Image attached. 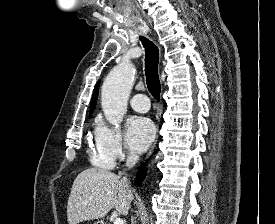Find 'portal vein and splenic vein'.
I'll return each instance as SVG.
<instances>
[{
  "label": "portal vein and splenic vein",
  "instance_id": "1",
  "mask_svg": "<svg viewBox=\"0 0 275 224\" xmlns=\"http://www.w3.org/2000/svg\"><path fill=\"white\" fill-rule=\"evenodd\" d=\"M125 221L121 218H116L115 221H114V224H124Z\"/></svg>",
  "mask_w": 275,
  "mask_h": 224
}]
</instances>
